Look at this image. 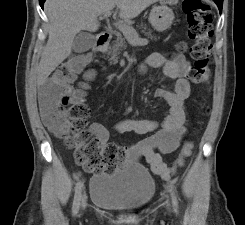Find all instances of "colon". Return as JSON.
<instances>
[{
	"instance_id": "obj_1",
	"label": "colon",
	"mask_w": 245,
	"mask_h": 225,
	"mask_svg": "<svg viewBox=\"0 0 245 225\" xmlns=\"http://www.w3.org/2000/svg\"><path fill=\"white\" fill-rule=\"evenodd\" d=\"M183 14L187 18L190 38L195 41L191 54L195 61L192 77L196 83H207L211 65L213 34L208 6L201 0H183ZM81 65L80 55L65 60L58 70L44 83L50 95L59 94L63 100L64 117L55 125L56 134L75 150L76 159L88 171H112L125 158L126 148L109 143L104 150L91 139L87 129L89 109L82 101V91L71 87L76 68ZM190 154L186 144L181 152L180 162ZM155 172L164 179H171L170 169L159 159L154 160Z\"/></svg>"
}]
</instances>
